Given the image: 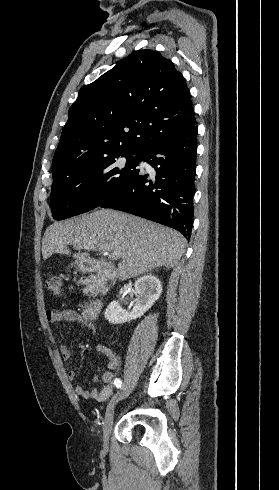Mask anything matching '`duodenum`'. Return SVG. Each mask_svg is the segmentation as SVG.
Segmentation results:
<instances>
[{"instance_id": "410a0bca", "label": "duodenum", "mask_w": 279, "mask_h": 490, "mask_svg": "<svg viewBox=\"0 0 279 490\" xmlns=\"http://www.w3.org/2000/svg\"><path fill=\"white\" fill-rule=\"evenodd\" d=\"M82 268L87 272H94L98 274L102 279L113 281L116 276L114 267L105 261L98 260H86L82 263ZM102 306V302L99 299L89 301L83 309V316L88 320H93L98 315Z\"/></svg>"}]
</instances>
